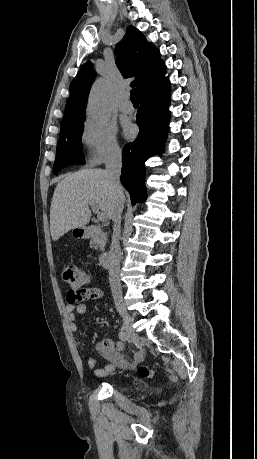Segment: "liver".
<instances>
[{"label":"liver","instance_id":"1","mask_svg":"<svg viewBox=\"0 0 257 459\" xmlns=\"http://www.w3.org/2000/svg\"><path fill=\"white\" fill-rule=\"evenodd\" d=\"M90 203L111 219L114 193L106 170L83 169L63 178L55 188L50 207V232L53 241L72 229L84 228L90 221Z\"/></svg>","mask_w":257,"mask_h":459}]
</instances>
